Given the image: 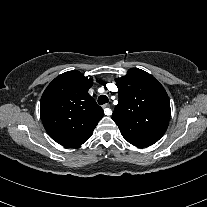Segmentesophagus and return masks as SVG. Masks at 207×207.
I'll return each instance as SVG.
<instances>
[{
  "instance_id": "esophagus-1",
  "label": "esophagus",
  "mask_w": 207,
  "mask_h": 207,
  "mask_svg": "<svg viewBox=\"0 0 207 207\" xmlns=\"http://www.w3.org/2000/svg\"><path fill=\"white\" fill-rule=\"evenodd\" d=\"M103 109H104L105 115L110 116L112 114V110L110 109L109 104H104Z\"/></svg>"
}]
</instances>
